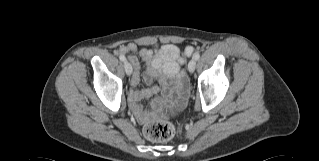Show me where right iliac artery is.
<instances>
[{
	"label": "right iliac artery",
	"mask_w": 319,
	"mask_h": 161,
	"mask_svg": "<svg viewBox=\"0 0 319 161\" xmlns=\"http://www.w3.org/2000/svg\"><path fill=\"white\" fill-rule=\"evenodd\" d=\"M119 59H120L122 62H125V61H126V58H125L124 55H120V56H119Z\"/></svg>",
	"instance_id": "right-iliac-artery-1"
}]
</instances>
